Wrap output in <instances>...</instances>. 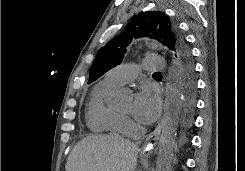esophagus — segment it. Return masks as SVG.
<instances>
[{"label":"esophagus","instance_id":"34e87169","mask_svg":"<svg viewBox=\"0 0 245 171\" xmlns=\"http://www.w3.org/2000/svg\"><path fill=\"white\" fill-rule=\"evenodd\" d=\"M161 133V123H158L155 130L146 138L143 154L144 156H150L153 153V149L156 145L157 140L159 139Z\"/></svg>","mask_w":245,"mask_h":171}]
</instances>
